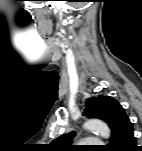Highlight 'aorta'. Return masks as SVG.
<instances>
[{"instance_id": "obj_1", "label": "aorta", "mask_w": 142, "mask_h": 151, "mask_svg": "<svg viewBox=\"0 0 142 151\" xmlns=\"http://www.w3.org/2000/svg\"><path fill=\"white\" fill-rule=\"evenodd\" d=\"M83 128L87 131L98 133L102 138L109 139L111 131L106 123L98 119H89L83 124Z\"/></svg>"}]
</instances>
